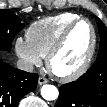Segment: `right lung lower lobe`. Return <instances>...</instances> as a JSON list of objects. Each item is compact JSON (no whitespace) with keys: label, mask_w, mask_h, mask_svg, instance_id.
Listing matches in <instances>:
<instances>
[{"label":"right lung lower lobe","mask_w":107,"mask_h":107,"mask_svg":"<svg viewBox=\"0 0 107 107\" xmlns=\"http://www.w3.org/2000/svg\"><path fill=\"white\" fill-rule=\"evenodd\" d=\"M38 75L0 61V107H17L20 99L33 91Z\"/></svg>","instance_id":"1"}]
</instances>
